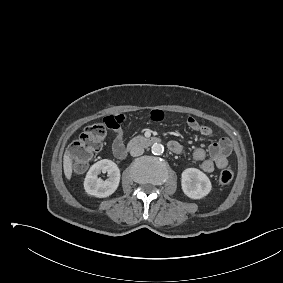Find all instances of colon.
Returning a JSON list of instances; mask_svg holds the SVG:
<instances>
[{
    "instance_id": "colon-1",
    "label": "colon",
    "mask_w": 283,
    "mask_h": 283,
    "mask_svg": "<svg viewBox=\"0 0 283 283\" xmlns=\"http://www.w3.org/2000/svg\"><path fill=\"white\" fill-rule=\"evenodd\" d=\"M106 122H98L87 127L70 148V158L73 168L76 171L84 170L94 154L101 150L107 132ZM234 177L232 169L227 168L221 171L219 182L229 184Z\"/></svg>"
}]
</instances>
